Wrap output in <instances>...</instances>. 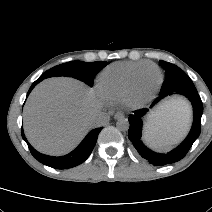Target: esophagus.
Returning a JSON list of instances; mask_svg holds the SVG:
<instances>
[{"instance_id": "esophagus-1", "label": "esophagus", "mask_w": 212, "mask_h": 212, "mask_svg": "<svg viewBox=\"0 0 212 212\" xmlns=\"http://www.w3.org/2000/svg\"><path fill=\"white\" fill-rule=\"evenodd\" d=\"M124 117V114L122 112H117L114 114L115 119H121Z\"/></svg>"}]
</instances>
